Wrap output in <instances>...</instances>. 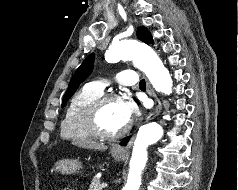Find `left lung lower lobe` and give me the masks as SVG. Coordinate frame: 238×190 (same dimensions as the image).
I'll use <instances>...</instances> for the list:
<instances>
[{"mask_svg":"<svg viewBox=\"0 0 238 190\" xmlns=\"http://www.w3.org/2000/svg\"><path fill=\"white\" fill-rule=\"evenodd\" d=\"M128 138H129V137L125 138V140L122 141V142L120 143V145H126V143H127V139H128Z\"/></svg>","mask_w":238,"mask_h":190,"instance_id":"left-lung-lower-lobe-1","label":"left lung lower lobe"}]
</instances>
